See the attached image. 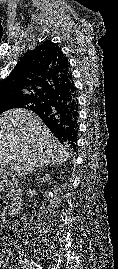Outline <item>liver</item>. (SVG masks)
I'll use <instances>...</instances> for the list:
<instances>
[{"instance_id": "obj_1", "label": "liver", "mask_w": 118, "mask_h": 269, "mask_svg": "<svg viewBox=\"0 0 118 269\" xmlns=\"http://www.w3.org/2000/svg\"><path fill=\"white\" fill-rule=\"evenodd\" d=\"M69 152L43 121L26 109H14L0 115V174L11 165L25 176L36 167L63 164Z\"/></svg>"}]
</instances>
